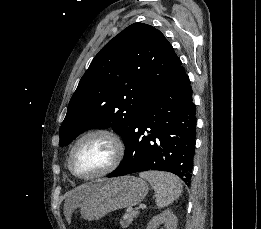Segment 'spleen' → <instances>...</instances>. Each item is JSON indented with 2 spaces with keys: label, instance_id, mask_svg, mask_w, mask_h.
Segmentation results:
<instances>
[{
  "label": "spleen",
  "instance_id": "1",
  "mask_svg": "<svg viewBox=\"0 0 261 229\" xmlns=\"http://www.w3.org/2000/svg\"><path fill=\"white\" fill-rule=\"evenodd\" d=\"M141 179H145L150 183L152 189L156 191V205L163 209L178 199L182 193V185L175 175L172 173H164V171H145L139 173Z\"/></svg>",
  "mask_w": 261,
  "mask_h": 229
}]
</instances>
